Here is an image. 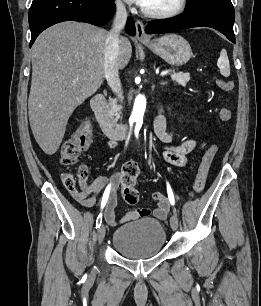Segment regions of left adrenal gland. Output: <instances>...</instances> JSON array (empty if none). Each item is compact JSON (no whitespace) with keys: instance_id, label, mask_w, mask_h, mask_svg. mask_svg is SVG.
<instances>
[{"instance_id":"left-adrenal-gland-1","label":"left adrenal gland","mask_w":261,"mask_h":306,"mask_svg":"<svg viewBox=\"0 0 261 306\" xmlns=\"http://www.w3.org/2000/svg\"><path fill=\"white\" fill-rule=\"evenodd\" d=\"M165 84H166V82H162V83H161V85H165Z\"/></svg>"}]
</instances>
